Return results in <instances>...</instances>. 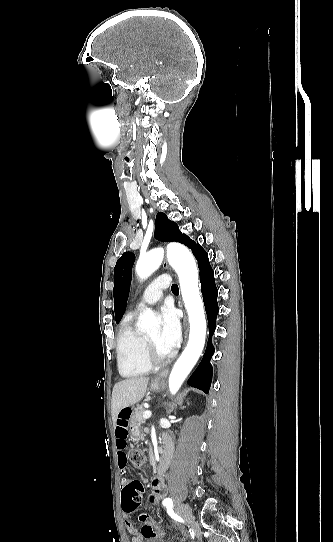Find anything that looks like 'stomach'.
<instances>
[{
  "instance_id": "1",
  "label": "stomach",
  "mask_w": 333,
  "mask_h": 542,
  "mask_svg": "<svg viewBox=\"0 0 333 542\" xmlns=\"http://www.w3.org/2000/svg\"><path fill=\"white\" fill-rule=\"evenodd\" d=\"M149 388L150 390H152V392H159L161 388H164V384L163 382H156V380H152V382H150L149 384ZM128 426H129L131 438L134 441H139L142 438V433L140 430V426L138 424H135L132 416H130L128 420Z\"/></svg>"
}]
</instances>
